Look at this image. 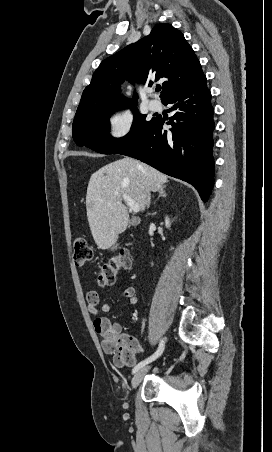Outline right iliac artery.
I'll list each match as a JSON object with an SVG mask.
<instances>
[{
  "instance_id": "82829eb1",
  "label": "right iliac artery",
  "mask_w": 272,
  "mask_h": 452,
  "mask_svg": "<svg viewBox=\"0 0 272 452\" xmlns=\"http://www.w3.org/2000/svg\"><path fill=\"white\" fill-rule=\"evenodd\" d=\"M164 350V340L160 341L159 347L157 349V351L151 355L150 357L146 358L145 360L141 361L140 363H138L132 370V373H136L137 371H139L142 367H144L146 364L152 362L153 360H155L156 358H158Z\"/></svg>"
}]
</instances>
